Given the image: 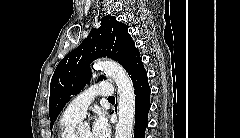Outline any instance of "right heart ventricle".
Instances as JSON below:
<instances>
[{
    "mask_svg": "<svg viewBox=\"0 0 240 138\" xmlns=\"http://www.w3.org/2000/svg\"><path fill=\"white\" fill-rule=\"evenodd\" d=\"M79 120L75 117L63 115L59 123L57 138H73Z\"/></svg>",
    "mask_w": 240,
    "mask_h": 138,
    "instance_id": "right-heart-ventricle-1",
    "label": "right heart ventricle"
}]
</instances>
